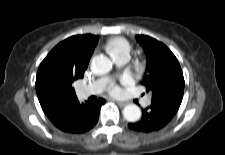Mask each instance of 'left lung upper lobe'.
<instances>
[{
	"instance_id": "obj_1",
	"label": "left lung upper lobe",
	"mask_w": 225,
	"mask_h": 155,
	"mask_svg": "<svg viewBox=\"0 0 225 155\" xmlns=\"http://www.w3.org/2000/svg\"><path fill=\"white\" fill-rule=\"evenodd\" d=\"M147 55V69L142 84L152 92L153 103L180 107L184 92V77L175 55L161 42L137 35Z\"/></svg>"
}]
</instances>
